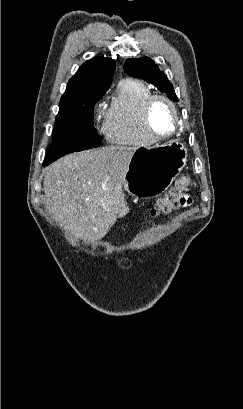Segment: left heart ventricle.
I'll return each mask as SVG.
<instances>
[{
	"instance_id": "obj_1",
	"label": "left heart ventricle",
	"mask_w": 243,
	"mask_h": 409,
	"mask_svg": "<svg viewBox=\"0 0 243 409\" xmlns=\"http://www.w3.org/2000/svg\"><path fill=\"white\" fill-rule=\"evenodd\" d=\"M153 130L161 135L170 133L175 126V119L170 107L163 101H157L151 112Z\"/></svg>"
}]
</instances>
